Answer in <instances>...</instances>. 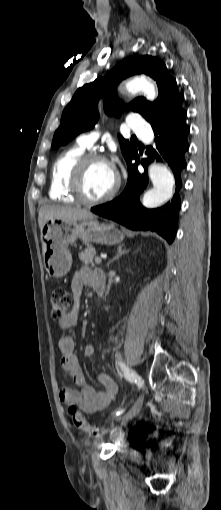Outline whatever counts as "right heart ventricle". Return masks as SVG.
I'll list each match as a JSON object with an SVG mask.
<instances>
[{
	"instance_id": "obj_1",
	"label": "right heart ventricle",
	"mask_w": 221,
	"mask_h": 510,
	"mask_svg": "<svg viewBox=\"0 0 221 510\" xmlns=\"http://www.w3.org/2000/svg\"><path fill=\"white\" fill-rule=\"evenodd\" d=\"M86 148L80 144L64 150L54 161L49 186V196L56 201L74 203L76 200L68 188L70 172L76 161L85 154Z\"/></svg>"
}]
</instances>
